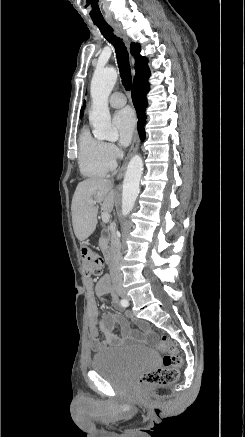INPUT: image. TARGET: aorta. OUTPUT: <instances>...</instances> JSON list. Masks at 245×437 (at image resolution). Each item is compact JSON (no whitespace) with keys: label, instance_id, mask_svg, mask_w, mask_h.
Returning a JSON list of instances; mask_svg holds the SVG:
<instances>
[{"label":"aorta","instance_id":"1","mask_svg":"<svg viewBox=\"0 0 245 437\" xmlns=\"http://www.w3.org/2000/svg\"><path fill=\"white\" fill-rule=\"evenodd\" d=\"M117 80L115 68L96 69L91 81L92 110L89 121L94 135L100 140L116 141L118 131L111 125L108 98ZM143 171V161L139 155L130 160L123 181L122 215H128L134 208L139 194V184Z\"/></svg>","mask_w":245,"mask_h":437}]
</instances>
